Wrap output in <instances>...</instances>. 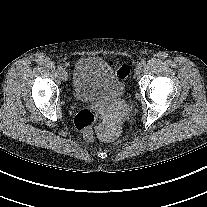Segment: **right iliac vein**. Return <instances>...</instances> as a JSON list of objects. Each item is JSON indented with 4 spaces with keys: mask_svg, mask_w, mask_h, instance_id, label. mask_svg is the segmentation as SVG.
Here are the masks:
<instances>
[{
    "mask_svg": "<svg viewBox=\"0 0 207 207\" xmlns=\"http://www.w3.org/2000/svg\"><path fill=\"white\" fill-rule=\"evenodd\" d=\"M61 78H62L63 81H67V79H68V73H67V71L63 70L61 72Z\"/></svg>",
    "mask_w": 207,
    "mask_h": 207,
    "instance_id": "63e3f726",
    "label": "right iliac vein"
}]
</instances>
